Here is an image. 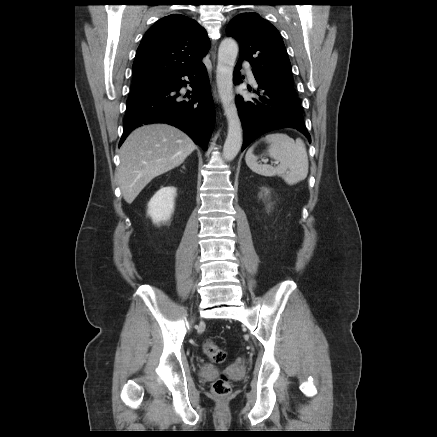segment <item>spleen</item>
Returning <instances> with one entry per match:
<instances>
[{
    "label": "spleen",
    "instance_id": "1",
    "mask_svg": "<svg viewBox=\"0 0 437 437\" xmlns=\"http://www.w3.org/2000/svg\"><path fill=\"white\" fill-rule=\"evenodd\" d=\"M261 141L269 144L266 154L280 162L278 166L259 164L258 157L253 154L254 144L246 153L247 166L255 173L272 177H281L288 185H294L307 177L309 161L304 142L296 141L287 134H268Z\"/></svg>",
    "mask_w": 437,
    "mask_h": 437
}]
</instances>
